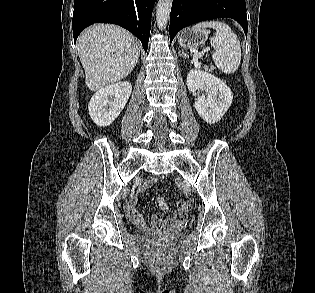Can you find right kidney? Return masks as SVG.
<instances>
[{"label":"right kidney","mask_w":315,"mask_h":293,"mask_svg":"<svg viewBox=\"0 0 315 293\" xmlns=\"http://www.w3.org/2000/svg\"><path fill=\"white\" fill-rule=\"evenodd\" d=\"M131 91L132 85L129 82L107 85L97 91L88 105L93 122L100 127L110 125L125 107ZM112 98L114 100L110 101Z\"/></svg>","instance_id":"right-kidney-1"}]
</instances>
